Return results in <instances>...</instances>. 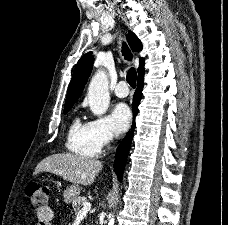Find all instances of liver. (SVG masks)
<instances>
[{
  "mask_svg": "<svg viewBox=\"0 0 228 225\" xmlns=\"http://www.w3.org/2000/svg\"><path fill=\"white\" fill-rule=\"evenodd\" d=\"M103 169L100 161L95 159H85L79 155H51L38 163L34 175L38 173H53L59 175L64 181H69L73 185H92L95 181L96 173Z\"/></svg>",
  "mask_w": 228,
  "mask_h": 225,
  "instance_id": "1",
  "label": "liver"
}]
</instances>
